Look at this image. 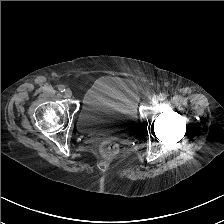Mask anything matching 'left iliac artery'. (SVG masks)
<instances>
[{
	"instance_id": "44dca946",
	"label": "left iliac artery",
	"mask_w": 224,
	"mask_h": 224,
	"mask_svg": "<svg viewBox=\"0 0 224 224\" xmlns=\"http://www.w3.org/2000/svg\"><path fill=\"white\" fill-rule=\"evenodd\" d=\"M159 99H160V100H165V99H166V96H165L164 94H160V95H159Z\"/></svg>"
}]
</instances>
